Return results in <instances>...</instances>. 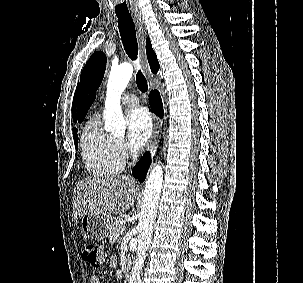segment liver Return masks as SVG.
Returning <instances> with one entry per match:
<instances>
[{
  "label": "liver",
  "instance_id": "liver-1",
  "mask_svg": "<svg viewBox=\"0 0 303 283\" xmlns=\"http://www.w3.org/2000/svg\"><path fill=\"white\" fill-rule=\"evenodd\" d=\"M134 180L130 176L86 178L74 189L75 224L86 214H122L133 206Z\"/></svg>",
  "mask_w": 303,
  "mask_h": 283
}]
</instances>
